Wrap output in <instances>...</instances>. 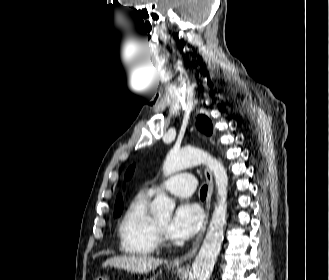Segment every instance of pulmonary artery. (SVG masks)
Returning a JSON list of instances; mask_svg holds the SVG:
<instances>
[{
	"mask_svg": "<svg viewBox=\"0 0 329 280\" xmlns=\"http://www.w3.org/2000/svg\"><path fill=\"white\" fill-rule=\"evenodd\" d=\"M196 189V179L192 174L180 173L172 176L168 180L152 186L149 189L151 194L160 190H167L178 197H188L193 194Z\"/></svg>",
	"mask_w": 329,
	"mask_h": 280,
	"instance_id": "obj_1",
	"label": "pulmonary artery"
}]
</instances>
